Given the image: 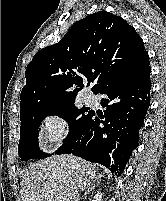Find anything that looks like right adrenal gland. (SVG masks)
<instances>
[{
	"mask_svg": "<svg viewBox=\"0 0 166 201\" xmlns=\"http://www.w3.org/2000/svg\"><path fill=\"white\" fill-rule=\"evenodd\" d=\"M101 177H102V174H99L97 177V180L88 187V189L84 193V198H86L87 194H89L95 188V186L100 183Z\"/></svg>",
	"mask_w": 166,
	"mask_h": 201,
	"instance_id": "obj_1",
	"label": "right adrenal gland"
}]
</instances>
